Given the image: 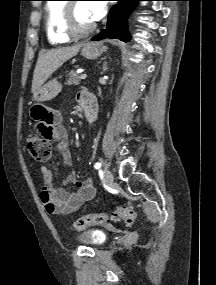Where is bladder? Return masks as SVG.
I'll return each instance as SVG.
<instances>
[{
  "instance_id": "bladder-1",
  "label": "bladder",
  "mask_w": 216,
  "mask_h": 285,
  "mask_svg": "<svg viewBox=\"0 0 216 285\" xmlns=\"http://www.w3.org/2000/svg\"><path fill=\"white\" fill-rule=\"evenodd\" d=\"M78 241L89 246H100L106 241V234L102 230L90 229L83 231L77 237Z\"/></svg>"
}]
</instances>
